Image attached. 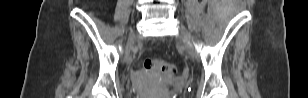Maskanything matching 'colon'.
Here are the masks:
<instances>
[{
  "instance_id": "colon-1",
  "label": "colon",
  "mask_w": 308,
  "mask_h": 98,
  "mask_svg": "<svg viewBox=\"0 0 308 98\" xmlns=\"http://www.w3.org/2000/svg\"><path fill=\"white\" fill-rule=\"evenodd\" d=\"M143 67L146 70L163 73L168 76H174L177 72L175 65L160 58L146 59L143 62Z\"/></svg>"
}]
</instances>
